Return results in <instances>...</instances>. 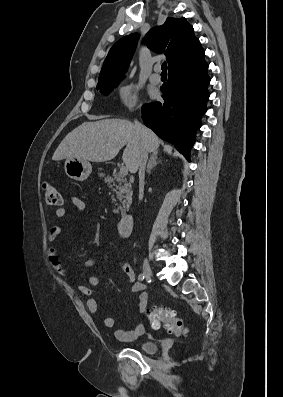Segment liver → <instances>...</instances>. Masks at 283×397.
Listing matches in <instances>:
<instances>
[{
  "instance_id": "liver-1",
  "label": "liver",
  "mask_w": 283,
  "mask_h": 397,
  "mask_svg": "<svg viewBox=\"0 0 283 397\" xmlns=\"http://www.w3.org/2000/svg\"><path fill=\"white\" fill-rule=\"evenodd\" d=\"M142 138L135 125L122 119H103L95 122H84L71 131L62 140L52 159L59 161L70 157L92 161L106 162L116 157L121 148L123 162L131 173L138 170L141 152H157L160 139L151 130Z\"/></svg>"
}]
</instances>
